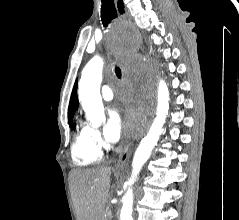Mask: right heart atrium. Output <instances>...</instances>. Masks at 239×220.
Masks as SVG:
<instances>
[{
  "label": "right heart atrium",
  "instance_id": "d8ad5b80",
  "mask_svg": "<svg viewBox=\"0 0 239 220\" xmlns=\"http://www.w3.org/2000/svg\"><path fill=\"white\" fill-rule=\"evenodd\" d=\"M90 139L93 145L98 149L102 150L105 148L106 144L101 136V133L98 129L90 127Z\"/></svg>",
  "mask_w": 239,
  "mask_h": 220
}]
</instances>
